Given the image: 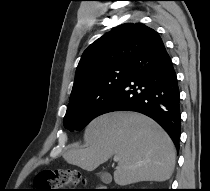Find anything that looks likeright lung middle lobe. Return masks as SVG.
I'll return each mask as SVG.
<instances>
[{
  "label": "right lung middle lobe",
  "mask_w": 210,
  "mask_h": 191,
  "mask_svg": "<svg viewBox=\"0 0 210 191\" xmlns=\"http://www.w3.org/2000/svg\"><path fill=\"white\" fill-rule=\"evenodd\" d=\"M129 65H114L98 73L83 90L70 97L64 127L81 130L95 117L120 84L127 78Z\"/></svg>",
  "instance_id": "right-lung-middle-lobe-1"
}]
</instances>
